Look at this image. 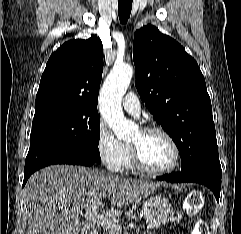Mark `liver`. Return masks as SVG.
Wrapping results in <instances>:
<instances>
[{
  "label": "liver",
  "mask_w": 241,
  "mask_h": 234,
  "mask_svg": "<svg viewBox=\"0 0 241 234\" xmlns=\"http://www.w3.org/2000/svg\"><path fill=\"white\" fill-rule=\"evenodd\" d=\"M158 184L129 179L83 166L53 165L34 173L24 187L27 234H79V215L109 197L108 217L121 208L148 197ZM117 207V208H115Z\"/></svg>",
  "instance_id": "obj_1"
}]
</instances>
